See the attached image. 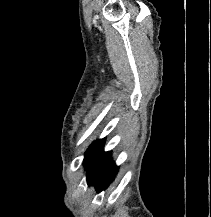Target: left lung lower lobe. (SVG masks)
<instances>
[{"label":"left lung lower lobe","instance_id":"left-lung-lower-lobe-1","mask_svg":"<svg viewBox=\"0 0 211 217\" xmlns=\"http://www.w3.org/2000/svg\"><path fill=\"white\" fill-rule=\"evenodd\" d=\"M86 169H88V184L95 185L98 192L108 187L118 171V167L111 160V152H104L103 148L92 159Z\"/></svg>","mask_w":211,"mask_h":217}]
</instances>
